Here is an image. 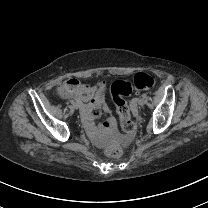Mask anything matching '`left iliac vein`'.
Instances as JSON below:
<instances>
[{"label":"left iliac vein","mask_w":208,"mask_h":208,"mask_svg":"<svg viewBox=\"0 0 208 208\" xmlns=\"http://www.w3.org/2000/svg\"><path fill=\"white\" fill-rule=\"evenodd\" d=\"M145 102H146L145 98H140L139 101H138V104L140 106H143L145 104Z\"/></svg>","instance_id":"obj_1"}]
</instances>
